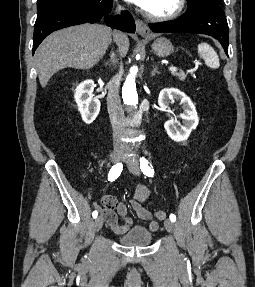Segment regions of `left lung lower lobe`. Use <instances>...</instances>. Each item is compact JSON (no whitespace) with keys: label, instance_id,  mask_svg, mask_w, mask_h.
Here are the masks:
<instances>
[{"label":"left lung lower lobe","instance_id":"left-lung-lower-lobe-1","mask_svg":"<svg viewBox=\"0 0 255 287\" xmlns=\"http://www.w3.org/2000/svg\"><path fill=\"white\" fill-rule=\"evenodd\" d=\"M156 33L186 32L206 34L216 38L228 55L229 29L227 20L219 4L210 1H198L188 5L183 17L173 21L149 24Z\"/></svg>","mask_w":255,"mask_h":287}]
</instances>
